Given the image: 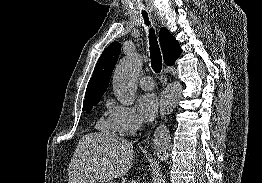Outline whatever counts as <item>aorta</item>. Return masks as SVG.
<instances>
[{"mask_svg": "<svg viewBox=\"0 0 262 183\" xmlns=\"http://www.w3.org/2000/svg\"><path fill=\"white\" fill-rule=\"evenodd\" d=\"M141 58L133 54L123 59L113 75V91L118 101L129 106L135 102L137 91V74L141 68ZM182 95V85L174 82L166 87L160 99L162 118L169 115L178 104ZM154 149L160 161H167L171 148V137L167 126L161 123L154 133Z\"/></svg>", "mask_w": 262, "mask_h": 183, "instance_id": "aorta-1", "label": "aorta"}]
</instances>
